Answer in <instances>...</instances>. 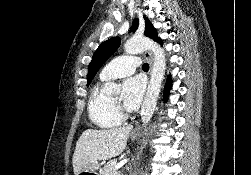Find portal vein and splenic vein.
<instances>
[{"mask_svg":"<svg viewBox=\"0 0 251 175\" xmlns=\"http://www.w3.org/2000/svg\"><path fill=\"white\" fill-rule=\"evenodd\" d=\"M126 161H128V159H122V161H120V163H117V165H115V169H119V167H121V165H124V163H126Z\"/></svg>","mask_w":251,"mask_h":175,"instance_id":"portal-vein-and-splenic-vein-1","label":"portal vein and splenic vein"}]
</instances>
